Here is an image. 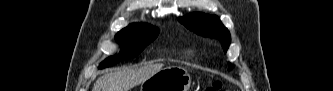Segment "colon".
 Listing matches in <instances>:
<instances>
[{
	"instance_id": "colon-1",
	"label": "colon",
	"mask_w": 333,
	"mask_h": 91,
	"mask_svg": "<svg viewBox=\"0 0 333 91\" xmlns=\"http://www.w3.org/2000/svg\"><path fill=\"white\" fill-rule=\"evenodd\" d=\"M222 84L220 82H214L205 88V91H222Z\"/></svg>"
}]
</instances>
